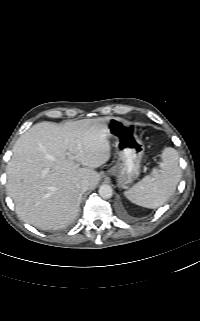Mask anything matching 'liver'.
I'll return each instance as SVG.
<instances>
[{
	"label": "liver",
	"mask_w": 200,
	"mask_h": 321,
	"mask_svg": "<svg viewBox=\"0 0 200 321\" xmlns=\"http://www.w3.org/2000/svg\"><path fill=\"white\" fill-rule=\"evenodd\" d=\"M108 120L41 122L18 138L7 166V191L23 221L50 230L76 219L82 199L76 184L87 180L88 189L95 188L100 175L94 169L111 157Z\"/></svg>",
	"instance_id": "1"
}]
</instances>
